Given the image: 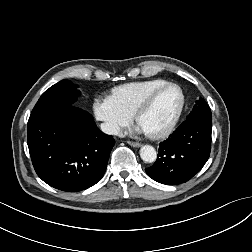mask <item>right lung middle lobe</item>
Instances as JSON below:
<instances>
[{
	"label": "right lung middle lobe",
	"instance_id": "obj_1",
	"mask_svg": "<svg viewBox=\"0 0 252 252\" xmlns=\"http://www.w3.org/2000/svg\"><path fill=\"white\" fill-rule=\"evenodd\" d=\"M80 92L69 80H62L46 90L32 110L30 118L37 117L51 109L73 105Z\"/></svg>",
	"mask_w": 252,
	"mask_h": 252
}]
</instances>
